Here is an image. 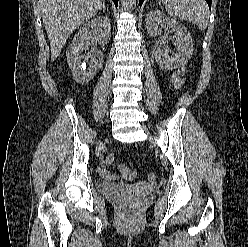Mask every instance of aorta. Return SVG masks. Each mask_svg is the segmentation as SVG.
Listing matches in <instances>:
<instances>
[{
    "instance_id": "obj_1",
    "label": "aorta",
    "mask_w": 248,
    "mask_h": 247,
    "mask_svg": "<svg viewBox=\"0 0 248 247\" xmlns=\"http://www.w3.org/2000/svg\"><path fill=\"white\" fill-rule=\"evenodd\" d=\"M135 2H136V0H128V3H129L130 5L135 4Z\"/></svg>"
}]
</instances>
